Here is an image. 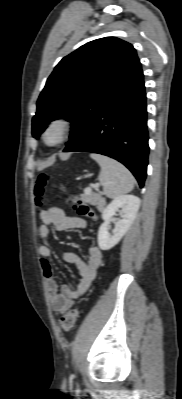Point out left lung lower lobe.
<instances>
[{
  "label": "left lung lower lobe",
  "instance_id": "0a47b994",
  "mask_svg": "<svg viewBox=\"0 0 182 399\" xmlns=\"http://www.w3.org/2000/svg\"><path fill=\"white\" fill-rule=\"evenodd\" d=\"M64 152L86 151L124 164L144 186L148 165L146 93L142 70L131 78Z\"/></svg>",
  "mask_w": 182,
  "mask_h": 399
}]
</instances>
